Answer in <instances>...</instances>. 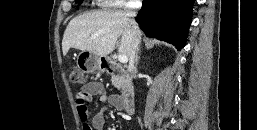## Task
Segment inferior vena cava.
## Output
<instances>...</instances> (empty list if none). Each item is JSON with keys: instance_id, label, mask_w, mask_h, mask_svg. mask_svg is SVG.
Masks as SVG:
<instances>
[{"instance_id": "1", "label": "inferior vena cava", "mask_w": 257, "mask_h": 130, "mask_svg": "<svg viewBox=\"0 0 257 130\" xmlns=\"http://www.w3.org/2000/svg\"><path fill=\"white\" fill-rule=\"evenodd\" d=\"M125 16L129 20L130 24V32H131V52L129 56V66L128 69L131 73L132 78H136V59H137V53L139 50V44L141 39V32L139 30V27L134 20V17L136 16V12L133 9H127L125 11Z\"/></svg>"}]
</instances>
